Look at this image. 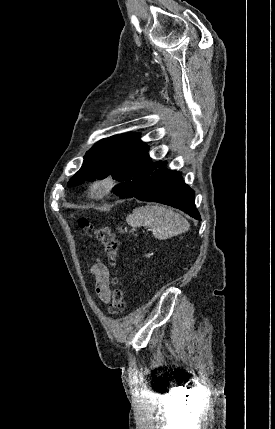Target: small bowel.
Instances as JSON below:
<instances>
[{
    "label": "small bowel",
    "mask_w": 275,
    "mask_h": 429,
    "mask_svg": "<svg viewBox=\"0 0 275 429\" xmlns=\"http://www.w3.org/2000/svg\"><path fill=\"white\" fill-rule=\"evenodd\" d=\"M91 272L95 281V291L97 296L104 303H108L111 299V275L108 267L98 260L92 266Z\"/></svg>",
    "instance_id": "small-bowel-1"
}]
</instances>
